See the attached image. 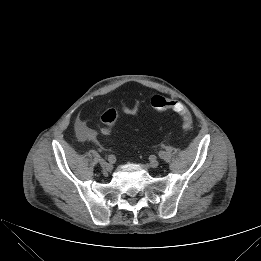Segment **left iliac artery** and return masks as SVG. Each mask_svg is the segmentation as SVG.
<instances>
[{
	"label": "left iliac artery",
	"mask_w": 261,
	"mask_h": 261,
	"mask_svg": "<svg viewBox=\"0 0 261 261\" xmlns=\"http://www.w3.org/2000/svg\"><path fill=\"white\" fill-rule=\"evenodd\" d=\"M158 157H159L160 159H165V158H166V152H165V151H159Z\"/></svg>",
	"instance_id": "left-iliac-artery-1"
}]
</instances>
